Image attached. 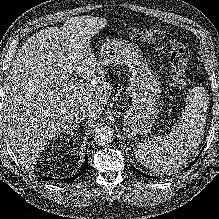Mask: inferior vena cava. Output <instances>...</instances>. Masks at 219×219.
I'll use <instances>...</instances> for the list:
<instances>
[{"mask_svg": "<svg viewBox=\"0 0 219 219\" xmlns=\"http://www.w3.org/2000/svg\"><path fill=\"white\" fill-rule=\"evenodd\" d=\"M74 115L76 117V120H82L90 117V115H92V112L88 110L86 107L78 106L75 109Z\"/></svg>", "mask_w": 219, "mask_h": 219, "instance_id": "602c4592", "label": "inferior vena cava"}]
</instances>
